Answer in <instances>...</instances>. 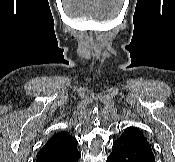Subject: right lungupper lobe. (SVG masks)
<instances>
[{
    "instance_id": "1",
    "label": "right lung upper lobe",
    "mask_w": 175,
    "mask_h": 162,
    "mask_svg": "<svg viewBox=\"0 0 175 162\" xmlns=\"http://www.w3.org/2000/svg\"><path fill=\"white\" fill-rule=\"evenodd\" d=\"M77 144L76 139L72 138L68 132L63 131L52 136L41 148L37 156L62 151H73L77 149Z\"/></svg>"
}]
</instances>
